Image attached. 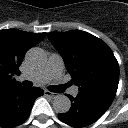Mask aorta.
I'll list each match as a JSON object with an SVG mask.
<instances>
[{
  "label": "aorta",
  "instance_id": "obj_1",
  "mask_svg": "<svg viewBox=\"0 0 128 128\" xmlns=\"http://www.w3.org/2000/svg\"><path fill=\"white\" fill-rule=\"evenodd\" d=\"M26 60L32 66H41L45 63L44 51L40 48H32L26 54ZM70 99L62 94L56 95L53 100V108L56 113L64 114L70 110Z\"/></svg>",
  "mask_w": 128,
  "mask_h": 128
}]
</instances>
